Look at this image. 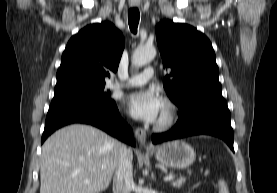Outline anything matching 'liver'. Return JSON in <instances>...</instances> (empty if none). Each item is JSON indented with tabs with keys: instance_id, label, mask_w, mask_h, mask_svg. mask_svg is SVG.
Listing matches in <instances>:
<instances>
[{
	"instance_id": "6515ba94",
	"label": "liver",
	"mask_w": 277,
	"mask_h": 193,
	"mask_svg": "<svg viewBox=\"0 0 277 193\" xmlns=\"http://www.w3.org/2000/svg\"><path fill=\"white\" fill-rule=\"evenodd\" d=\"M119 147V142L92 126L74 124L58 130L42 146L40 193L106 190L116 169Z\"/></svg>"
}]
</instances>
